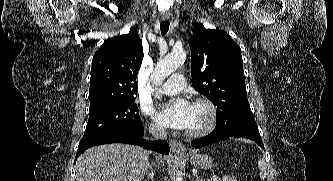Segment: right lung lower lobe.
<instances>
[{"label": "right lung lower lobe", "instance_id": "98d812e1", "mask_svg": "<svg viewBox=\"0 0 333 181\" xmlns=\"http://www.w3.org/2000/svg\"><path fill=\"white\" fill-rule=\"evenodd\" d=\"M144 136V127L135 129L128 133L123 134H113L103 137H97L89 140H82L79 143L76 158L80 156L86 149L110 143H127L132 145H142L147 149L159 152L161 154L167 155L170 151L169 145L166 141L158 140L155 142H143L142 138Z\"/></svg>", "mask_w": 333, "mask_h": 181}]
</instances>
